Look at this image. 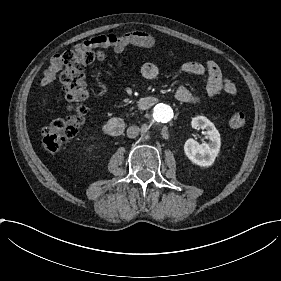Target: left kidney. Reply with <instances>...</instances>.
<instances>
[{
    "mask_svg": "<svg viewBox=\"0 0 281 281\" xmlns=\"http://www.w3.org/2000/svg\"><path fill=\"white\" fill-rule=\"evenodd\" d=\"M192 126L206 130L205 135L209 137V143L198 144L193 139H189L184 144V153L186 157L199 167L211 166L220 149V135L215 126L205 117L198 116L193 118Z\"/></svg>",
    "mask_w": 281,
    "mask_h": 281,
    "instance_id": "1",
    "label": "left kidney"
}]
</instances>
